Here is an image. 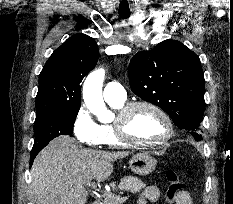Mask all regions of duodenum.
I'll list each match as a JSON object with an SVG mask.
<instances>
[{
    "label": "duodenum",
    "mask_w": 233,
    "mask_h": 204,
    "mask_svg": "<svg viewBox=\"0 0 233 204\" xmlns=\"http://www.w3.org/2000/svg\"><path fill=\"white\" fill-rule=\"evenodd\" d=\"M91 204H99L98 201H93Z\"/></svg>",
    "instance_id": "1"
}]
</instances>
